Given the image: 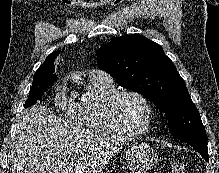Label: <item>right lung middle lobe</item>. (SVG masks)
<instances>
[{
  "label": "right lung middle lobe",
  "instance_id": "1",
  "mask_svg": "<svg viewBox=\"0 0 219 173\" xmlns=\"http://www.w3.org/2000/svg\"><path fill=\"white\" fill-rule=\"evenodd\" d=\"M55 80L56 76L53 73L36 72L34 74L32 87L29 91V97L24 107L27 108L34 105L42 97L46 88L49 87Z\"/></svg>",
  "mask_w": 219,
  "mask_h": 173
}]
</instances>
